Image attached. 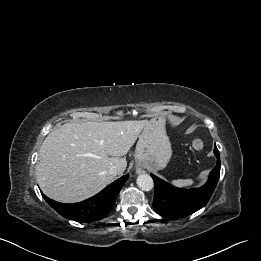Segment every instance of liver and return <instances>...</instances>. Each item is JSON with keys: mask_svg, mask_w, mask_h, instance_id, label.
<instances>
[{"mask_svg": "<svg viewBox=\"0 0 261 261\" xmlns=\"http://www.w3.org/2000/svg\"><path fill=\"white\" fill-rule=\"evenodd\" d=\"M147 124V120L83 122L54 129L42 143L36 166L42 192L63 203L97 194L114 180L111 166L125 171L123 157Z\"/></svg>", "mask_w": 261, "mask_h": 261, "instance_id": "liver-1", "label": "liver"}]
</instances>
